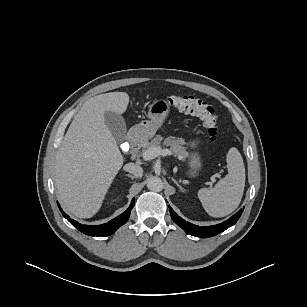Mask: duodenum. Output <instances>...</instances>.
<instances>
[{"label":"duodenum","instance_id":"1","mask_svg":"<svg viewBox=\"0 0 307 307\" xmlns=\"http://www.w3.org/2000/svg\"><path fill=\"white\" fill-rule=\"evenodd\" d=\"M130 146H131V153L134 155L136 154L138 148L141 146V138L139 134L132 133L130 135Z\"/></svg>","mask_w":307,"mask_h":307}]
</instances>
